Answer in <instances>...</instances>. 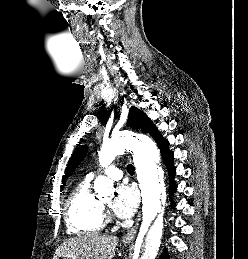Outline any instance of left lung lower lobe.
Returning a JSON list of instances; mask_svg holds the SVG:
<instances>
[{"mask_svg":"<svg viewBox=\"0 0 248 259\" xmlns=\"http://www.w3.org/2000/svg\"><path fill=\"white\" fill-rule=\"evenodd\" d=\"M159 149L161 150L163 160L168 168L169 176H170V195L176 190V185L173 181L174 175L176 173V169L173 166L172 160H173V153L168 150V141L165 140L163 143H161L159 146ZM172 205L174 204L173 200L171 199ZM159 259H168V253L166 250H164L160 256Z\"/></svg>","mask_w":248,"mask_h":259,"instance_id":"left-lung-lower-lobe-1","label":"left lung lower lobe"}]
</instances>
